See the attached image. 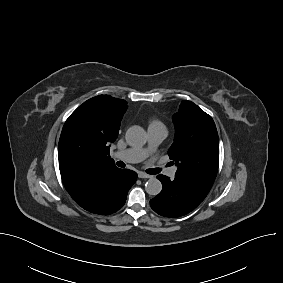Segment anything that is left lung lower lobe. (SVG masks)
<instances>
[{
	"label": "left lung lower lobe",
	"mask_w": 283,
	"mask_h": 283,
	"mask_svg": "<svg viewBox=\"0 0 283 283\" xmlns=\"http://www.w3.org/2000/svg\"><path fill=\"white\" fill-rule=\"evenodd\" d=\"M162 183V191L152 200L151 208L159 215L176 218L193 211L206 196L185 181L165 175H158Z\"/></svg>",
	"instance_id": "0a47b994"
}]
</instances>
